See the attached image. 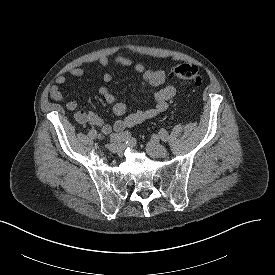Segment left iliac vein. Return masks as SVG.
<instances>
[{"label": "left iliac vein", "mask_w": 275, "mask_h": 275, "mask_svg": "<svg viewBox=\"0 0 275 275\" xmlns=\"http://www.w3.org/2000/svg\"><path fill=\"white\" fill-rule=\"evenodd\" d=\"M146 151L154 158H164L168 152L157 140H152L146 145Z\"/></svg>", "instance_id": "obj_1"}]
</instances>
